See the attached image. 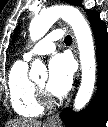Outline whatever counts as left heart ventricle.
<instances>
[{"mask_svg": "<svg viewBox=\"0 0 108 127\" xmlns=\"http://www.w3.org/2000/svg\"><path fill=\"white\" fill-rule=\"evenodd\" d=\"M37 83L41 86H44L45 85V79L39 80V81H37Z\"/></svg>", "mask_w": 108, "mask_h": 127, "instance_id": "left-heart-ventricle-1", "label": "left heart ventricle"}]
</instances>
